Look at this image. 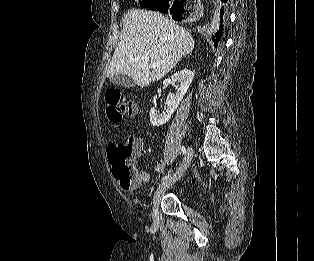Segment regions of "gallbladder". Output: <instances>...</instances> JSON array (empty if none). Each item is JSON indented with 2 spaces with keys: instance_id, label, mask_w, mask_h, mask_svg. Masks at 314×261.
I'll return each instance as SVG.
<instances>
[{
  "instance_id": "1",
  "label": "gallbladder",
  "mask_w": 314,
  "mask_h": 261,
  "mask_svg": "<svg viewBox=\"0 0 314 261\" xmlns=\"http://www.w3.org/2000/svg\"><path fill=\"white\" fill-rule=\"evenodd\" d=\"M110 81L121 87H133L134 80L129 75L118 74L110 78Z\"/></svg>"
}]
</instances>
